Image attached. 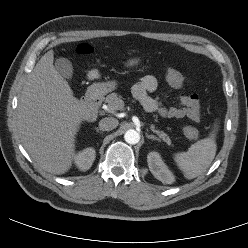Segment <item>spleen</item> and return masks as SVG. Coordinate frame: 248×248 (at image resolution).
I'll use <instances>...</instances> for the list:
<instances>
[{"label": "spleen", "mask_w": 248, "mask_h": 248, "mask_svg": "<svg viewBox=\"0 0 248 248\" xmlns=\"http://www.w3.org/2000/svg\"><path fill=\"white\" fill-rule=\"evenodd\" d=\"M216 127L217 124H214V130L210 136L191 145L187 152L175 154L174 160L187 179L201 175L213 161L217 150Z\"/></svg>", "instance_id": "obj_1"}]
</instances>
